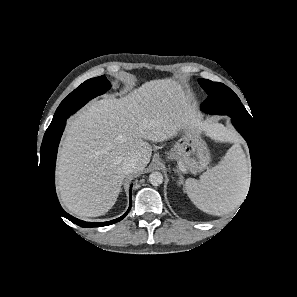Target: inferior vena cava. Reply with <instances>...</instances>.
Masks as SVG:
<instances>
[{"label": "inferior vena cava", "instance_id": "obj_1", "mask_svg": "<svg viewBox=\"0 0 297 297\" xmlns=\"http://www.w3.org/2000/svg\"><path fill=\"white\" fill-rule=\"evenodd\" d=\"M137 165H138V158H136V157H134V156L128 157V158L123 162V165H122L123 172H124L125 174L132 173V172L135 171Z\"/></svg>", "mask_w": 297, "mask_h": 297}]
</instances>
